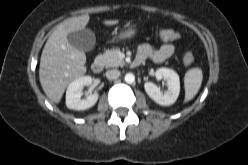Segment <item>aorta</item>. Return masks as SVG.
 Here are the masks:
<instances>
[{
	"label": "aorta",
	"instance_id": "aorta-1",
	"mask_svg": "<svg viewBox=\"0 0 248 165\" xmlns=\"http://www.w3.org/2000/svg\"><path fill=\"white\" fill-rule=\"evenodd\" d=\"M124 79L126 83L132 84L135 81V76L132 73H127Z\"/></svg>",
	"mask_w": 248,
	"mask_h": 165
}]
</instances>
